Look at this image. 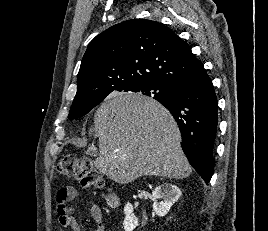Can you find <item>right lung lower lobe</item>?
<instances>
[{
  "mask_svg": "<svg viewBox=\"0 0 268 231\" xmlns=\"http://www.w3.org/2000/svg\"><path fill=\"white\" fill-rule=\"evenodd\" d=\"M170 94L156 99L172 114L182 136L181 146L191 166L209 183L218 123V102L206 70L169 87Z\"/></svg>",
  "mask_w": 268,
  "mask_h": 231,
  "instance_id": "right-lung-lower-lobe-1",
  "label": "right lung lower lobe"
}]
</instances>
